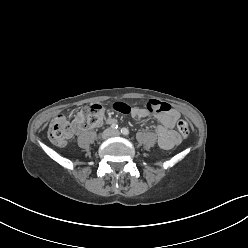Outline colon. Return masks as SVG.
<instances>
[{
	"label": "colon",
	"instance_id": "obj_1",
	"mask_svg": "<svg viewBox=\"0 0 248 248\" xmlns=\"http://www.w3.org/2000/svg\"><path fill=\"white\" fill-rule=\"evenodd\" d=\"M146 107L149 111L154 113H161L170 110V105L164 102L150 100ZM114 110L122 114H129L131 107L124 102H116L113 105ZM103 107L99 104H92L82 110L79 114L78 120L70 122L63 116L55 118L49 126L48 136L50 140L56 145L62 146L71 136L72 132L79 133L83 126L96 125L102 120ZM177 129L183 137L189 134V125L185 120L177 122Z\"/></svg>",
	"mask_w": 248,
	"mask_h": 248
}]
</instances>
